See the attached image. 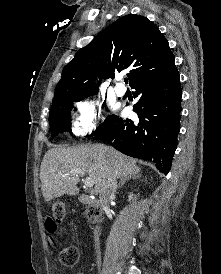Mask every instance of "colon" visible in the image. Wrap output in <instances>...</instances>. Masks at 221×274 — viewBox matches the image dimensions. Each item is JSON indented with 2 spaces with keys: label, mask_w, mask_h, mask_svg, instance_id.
<instances>
[{
  "label": "colon",
  "mask_w": 221,
  "mask_h": 274,
  "mask_svg": "<svg viewBox=\"0 0 221 274\" xmlns=\"http://www.w3.org/2000/svg\"><path fill=\"white\" fill-rule=\"evenodd\" d=\"M66 214V207L62 202H56L51 207V218L55 222L56 225L60 224ZM91 216L95 218L99 211L98 209H94L91 213ZM60 262L65 265L72 267L78 261V251L75 247H64L59 254Z\"/></svg>",
  "instance_id": "obj_1"
}]
</instances>
